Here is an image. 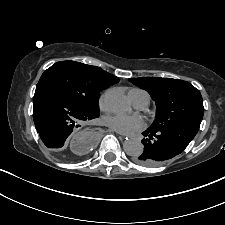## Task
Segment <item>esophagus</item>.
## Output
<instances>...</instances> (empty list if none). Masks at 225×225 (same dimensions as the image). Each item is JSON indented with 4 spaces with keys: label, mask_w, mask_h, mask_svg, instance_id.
<instances>
[{
    "label": "esophagus",
    "mask_w": 225,
    "mask_h": 225,
    "mask_svg": "<svg viewBox=\"0 0 225 225\" xmlns=\"http://www.w3.org/2000/svg\"><path fill=\"white\" fill-rule=\"evenodd\" d=\"M116 133H117L118 135L122 136V137H126V136H127V135H125V134H123V133H119V132H117V131H116Z\"/></svg>",
    "instance_id": "obj_1"
}]
</instances>
